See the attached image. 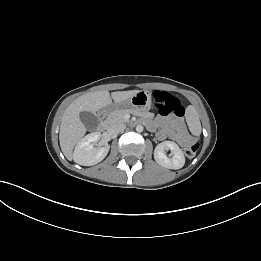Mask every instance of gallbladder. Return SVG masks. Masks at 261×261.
Returning <instances> with one entry per match:
<instances>
[{
  "label": "gallbladder",
  "instance_id": "bac80fb5",
  "mask_svg": "<svg viewBox=\"0 0 261 261\" xmlns=\"http://www.w3.org/2000/svg\"><path fill=\"white\" fill-rule=\"evenodd\" d=\"M80 119L88 130H95L99 123L98 118L92 112H81Z\"/></svg>",
  "mask_w": 261,
  "mask_h": 261
}]
</instances>
